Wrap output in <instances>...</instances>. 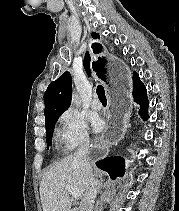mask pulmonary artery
<instances>
[{
	"label": "pulmonary artery",
	"mask_w": 179,
	"mask_h": 211,
	"mask_svg": "<svg viewBox=\"0 0 179 211\" xmlns=\"http://www.w3.org/2000/svg\"><path fill=\"white\" fill-rule=\"evenodd\" d=\"M91 107L94 110H101L102 104L100 100L98 99V96L95 94L92 101H91Z\"/></svg>",
	"instance_id": "1"
}]
</instances>
